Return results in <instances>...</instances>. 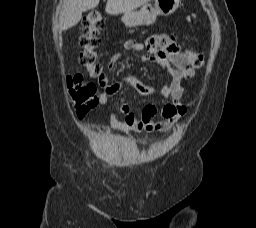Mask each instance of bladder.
<instances>
[{
  "instance_id": "bladder-1",
  "label": "bladder",
  "mask_w": 256,
  "mask_h": 228,
  "mask_svg": "<svg viewBox=\"0 0 256 228\" xmlns=\"http://www.w3.org/2000/svg\"><path fill=\"white\" fill-rule=\"evenodd\" d=\"M129 148H131V143L125 137H109L103 143V149L106 154L119 153Z\"/></svg>"
}]
</instances>
